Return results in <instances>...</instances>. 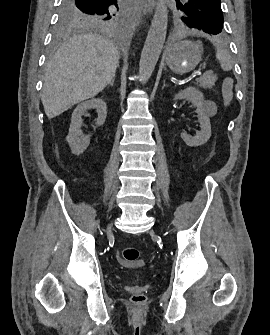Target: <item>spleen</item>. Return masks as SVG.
Masks as SVG:
<instances>
[{"label": "spleen", "instance_id": "spleen-1", "mask_svg": "<svg viewBox=\"0 0 270 335\" xmlns=\"http://www.w3.org/2000/svg\"><path fill=\"white\" fill-rule=\"evenodd\" d=\"M213 46H215L216 50V58L220 62V66L224 72H229V70H232V60L229 52H227L225 46L219 42L218 38H213L211 40Z\"/></svg>", "mask_w": 270, "mask_h": 335}]
</instances>
